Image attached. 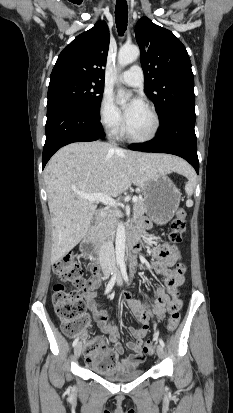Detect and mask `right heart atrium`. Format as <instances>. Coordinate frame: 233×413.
<instances>
[{
    "label": "right heart atrium",
    "instance_id": "right-heart-atrium-1",
    "mask_svg": "<svg viewBox=\"0 0 233 413\" xmlns=\"http://www.w3.org/2000/svg\"><path fill=\"white\" fill-rule=\"evenodd\" d=\"M99 121L109 133L118 135L122 132L124 122L122 115L109 94H104L98 108Z\"/></svg>",
    "mask_w": 233,
    "mask_h": 413
}]
</instances>
